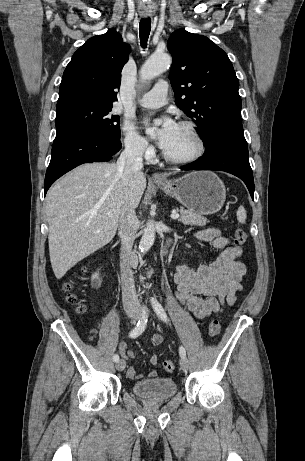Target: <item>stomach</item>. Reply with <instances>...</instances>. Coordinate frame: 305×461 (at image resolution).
I'll list each match as a JSON object with an SVG mask.
<instances>
[{
  "mask_svg": "<svg viewBox=\"0 0 305 461\" xmlns=\"http://www.w3.org/2000/svg\"><path fill=\"white\" fill-rule=\"evenodd\" d=\"M156 184L165 194L175 198L189 211L200 215L218 212L226 199L223 182L210 171H194L178 179Z\"/></svg>",
  "mask_w": 305,
  "mask_h": 461,
  "instance_id": "stomach-1",
  "label": "stomach"
}]
</instances>
